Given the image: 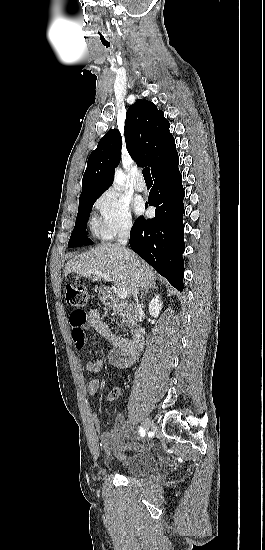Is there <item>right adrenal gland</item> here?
<instances>
[{
  "mask_svg": "<svg viewBox=\"0 0 265 550\" xmlns=\"http://www.w3.org/2000/svg\"><path fill=\"white\" fill-rule=\"evenodd\" d=\"M157 288H158V287L156 286V283H155V282L151 283V285H150L149 287L145 288L144 291L141 293L140 299H143V296H144L146 293H148V291H149L150 289H157Z\"/></svg>",
  "mask_w": 265,
  "mask_h": 550,
  "instance_id": "right-adrenal-gland-1",
  "label": "right adrenal gland"
}]
</instances>
